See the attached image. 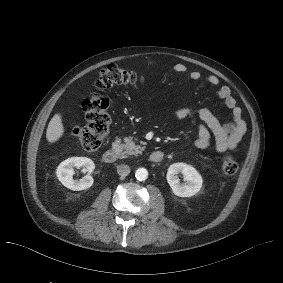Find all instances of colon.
<instances>
[{"label":"colon","mask_w":283,"mask_h":283,"mask_svg":"<svg viewBox=\"0 0 283 283\" xmlns=\"http://www.w3.org/2000/svg\"><path fill=\"white\" fill-rule=\"evenodd\" d=\"M141 77L134 71L110 64L101 70L95 82L98 90H107L114 86L136 84ZM86 124L76 126L73 134L79 144L87 151L97 150L107 136L111 124L109 114V100L101 94L95 93L82 102ZM238 161L231 155H225L221 160V172L225 176H233L239 170Z\"/></svg>","instance_id":"1"}]
</instances>
